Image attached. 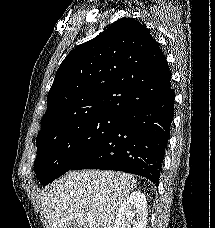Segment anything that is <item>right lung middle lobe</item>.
I'll list each match as a JSON object with an SVG mask.
<instances>
[{"mask_svg": "<svg viewBox=\"0 0 215 228\" xmlns=\"http://www.w3.org/2000/svg\"><path fill=\"white\" fill-rule=\"evenodd\" d=\"M122 119V115L99 114L68 124L48 127L36 139L34 170L43 185L69 171Z\"/></svg>", "mask_w": 215, "mask_h": 228, "instance_id": "dd1d6c3e", "label": "right lung middle lobe"}]
</instances>
